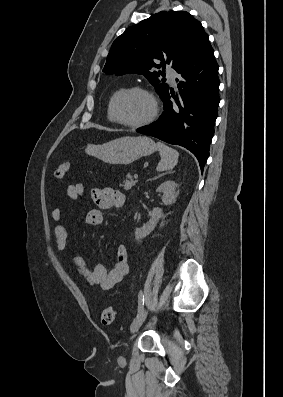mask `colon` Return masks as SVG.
<instances>
[{"label":"colon","mask_w":283,"mask_h":397,"mask_svg":"<svg viewBox=\"0 0 283 397\" xmlns=\"http://www.w3.org/2000/svg\"><path fill=\"white\" fill-rule=\"evenodd\" d=\"M71 169L70 162H63L58 165L54 172V176L58 179L63 178ZM115 310L112 307H106L101 314V322L105 326H110L115 320Z\"/></svg>","instance_id":"5ec220e1"}]
</instances>
